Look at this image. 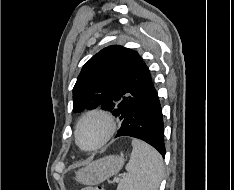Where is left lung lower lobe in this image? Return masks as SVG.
<instances>
[{
	"label": "left lung lower lobe",
	"instance_id": "left-lung-lower-lobe-1",
	"mask_svg": "<svg viewBox=\"0 0 234 190\" xmlns=\"http://www.w3.org/2000/svg\"><path fill=\"white\" fill-rule=\"evenodd\" d=\"M141 139L165 156L164 126L161 105L152 79L146 89L132 103L116 137Z\"/></svg>",
	"mask_w": 234,
	"mask_h": 190
}]
</instances>
